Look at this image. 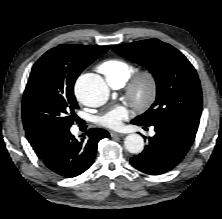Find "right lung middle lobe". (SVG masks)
Masks as SVG:
<instances>
[{
    "instance_id": "obj_1",
    "label": "right lung middle lobe",
    "mask_w": 222,
    "mask_h": 219,
    "mask_svg": "<svg viewBox=\"0 0 222 219\" xmlns=\"http://www.w3.org/2000/svg\"><path fill=\"white\" fill-rule=\"evenodd\" d=\"M90 60L85 67L94 62ZM67 55L49 50L35 63L22 103L23 123L63 133L74 121L78 108L73 86L64 79Z\"/></svg>"
}]
</instances>
